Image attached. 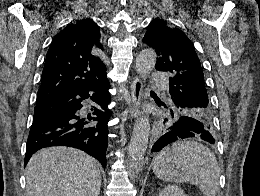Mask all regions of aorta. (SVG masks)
<instances>
[{
    "instance_id": "762f6f07",
    "label": "aorta",
    "mask_w": 260,
    "mask_h": 196,
    "mask_svg": "<svg viewBox=\"0 0 260 196\" xmlns=\"http://www.w3.org/2000/svg\"><path fill=\"white\" fill-rule=\"evenodd\" d=\"M156 64V53L152 49L142 50L136 58V70L142 79H146ZM150 134L148 115H142L135 123L128 147L127 163L134 175L138 174L145 164V152Z\"/></svg>"
}]
</instances>
